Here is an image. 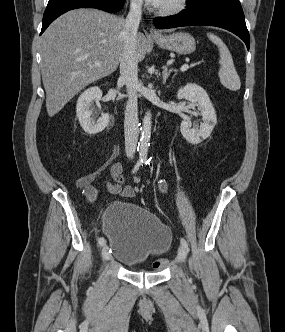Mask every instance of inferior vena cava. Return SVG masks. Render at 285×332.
I'll use <instances>...</instances> for the list:
<instances>
[{"label":"inferior vena cava","mask_w":285,"mask_h":332,"mask_svg":"<svg viewBox=\"0 0 285 332\" xmlns=\"http://www.w3.org/2000/svg\"><path fill=\"white\" fill-rule=\"evenodd\" d=\"M142 0H131L130 11L126 18L123 31L124 48L120 59V78L124 81L128 94L125 110L124 133L125 152L128 158H133L138 141V104L137 90L138 61L136 58V37L142 15Z\"/></svg>","instance_id":"inferior-vena-cava-1"}]
</instances>
